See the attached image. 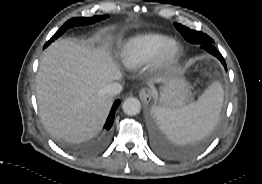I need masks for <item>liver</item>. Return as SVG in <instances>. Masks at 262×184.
<instances>
[{
	"instance_id": "6515ba94",
	"label": "liver",
	"mask_w": 262,
	"mask_h": 184,
	"mask_svg": "<svg viewBox=\"0 0 262 184\" xmlns=\"http://www.w3.org/2000/svg\"><path fill=\"white\" fill-rule=\"evenodd\" d=\"M121 77L104 49H89L67 39L52 43L36 81L39 113L47 131L69 142L95 136L112 105L105 88Z\"/></svg>"
}]
</instances>
